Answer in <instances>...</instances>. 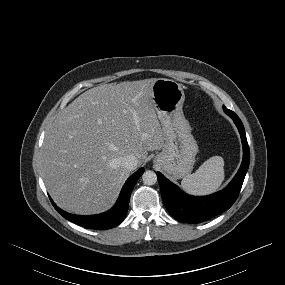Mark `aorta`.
I'll return each mask as SVG.
<instances>
[{
    "instance_id": "762f6f07",
    "label": "aorta",
    "mask_w": 285,
    "mask_h": 285,
    "mask_svg": "<svg viewBox=\"0 0 285 285\" xmlns=\"http://www.w3.org/2000/svg\"><path fill=\"white\" fill-rule=\"evenodd\" d=\"M142 180L145 185H154L157 182V175L154 171L147 170L143 173Z\"/></svg>"
}]
</instances>
